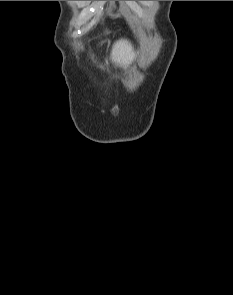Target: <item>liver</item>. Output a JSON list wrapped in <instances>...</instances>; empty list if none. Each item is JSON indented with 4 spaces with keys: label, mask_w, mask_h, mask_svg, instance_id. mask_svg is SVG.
<instances>
[{
    "label": "liver",
    "mask_w": 233,
    "mask_h": 295,
    "mask_svg": "<svg viewBox=\"0 0 233 295\" xmlns=\"http://www.w3.org/2000/svg\"><path fill=\"white\" fill-rule=\"evenodd\" d=\"M134 58L135 54L132 46L127 40L121 39L114 43L110 53V60L114 64L126 69Z\"/></svg>",
    "instance_id": "6515ba94"
}]
</instances>
